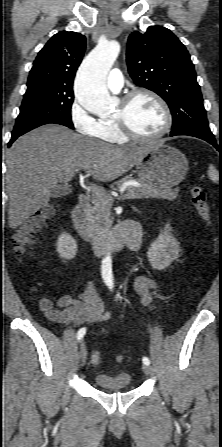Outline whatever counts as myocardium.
<instances>
[{
  "label": "myocardium",
  "instance_id": "myocardium-1",
  "mask_svg": "<svg viewBox=\"0 0 222 447\" xmlns=\"http://www.w3.org/2000/svg\"><path fill=\"white\" fill-rule=\"evenodd\" d=\"M139 95H146L151 97L161 107L163 111L165 118L164 125L161 128V130L154 135H141L136 133L127 120L126 116L127 108L133 101V99ZM114 121L118 126V128L120 129L121 133L127 139L137 142H149L164 137L170 131L173 124V116L169 105L159 94L148 88H138L124 95V97L121 100L120 112L114 117Z\"/></svg>",
  "mask_w": 222,
  "mask_h": 447
}]
</instances>
